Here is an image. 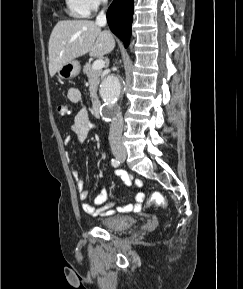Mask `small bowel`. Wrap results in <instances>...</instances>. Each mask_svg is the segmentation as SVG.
Segmentation results:
<instances>
[{
    "mask_svg": "<svg viewBox=\"0 0 243 289\" xmlns=\"http://www.w3.org/2000/svg\"><path fill=\"white\" fill-rule=\"evenodd\" d=\"M68 99L73 103H78L81 101V93L77 88L71 87L67 91ZM99 128L93 124L89 118L86 109H81L74 116L71 124V132L75 135L78 143L84 142L92 131H97ZM65 143L70 142V137L64 139ZM69 162L73 161L71 155H67ZM116 174L122 179V181L128 187L135 184L139 189L142 187V182L140 180H134L129 174L117 171ZM73 176L76 180L77 189L79 191V197L82 202V209L90 216H107L116 212L119 213H129L138 212L141 210L145 195L143 191L139 190L135 196L134 203L127 204L125 206H119L115 210H112L113 202L106 203L108 198V192L106 189H102L100 193L94 200V206L87 202L89 196V191L84 187V181L80 178L79 173L74 171Z\"/></svg>",
    "mask_w": 243,
    "mask_h": 289,
    "instance_id": "obj_1",
    "label": "small bowel"
}]
</instances>
